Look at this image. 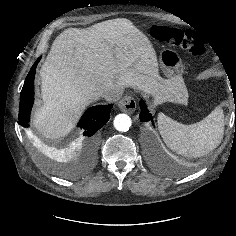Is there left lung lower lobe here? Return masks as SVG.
<instances>
[{
    "label": "left lung lower lobe",
    "instance_id": "obj_1",
    "mask_svg": "<svg viewBox=\"0 0 236 236\" xmlns=\"http://www.w3.org/2000/svg\"><path fill=\"white\" fill-rule=\"evenodd\" d=\"M146 107L147 106H146L145 102L143 100H141L140 101L141 113L139 115L141 122H148V121L152 120V116ZM152 124H153V121H152Z\"/></svg>",
    "mask_w": 236,
    "mask_h": 236
}]
</instances>
